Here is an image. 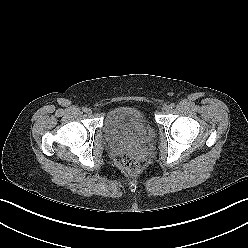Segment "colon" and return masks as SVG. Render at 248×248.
<instances>
[{
	"label": "colon",
	"mask_w": 248,
	"mask_h": 248,
	"mask_svg": "<svg viewBox=\"0 0 248 248\" xmlns=\"http://www.w3.org/2000/svg\"><path fill=\"white\" fill-rule=\"evenodd\" d=\"M122 165L126 174L135 176L140 171V163L137 158L132 153H124L122 156Z\"/></svg>",
	"instance_id": "1"
}]
</instances>
